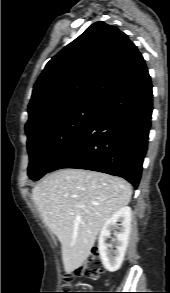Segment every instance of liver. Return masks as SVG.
Returning a JSON list of instances; mask_svg holds the SVG:
<instances>
[{
  "label": "liver",
  "instance_id": "1",
  "mask_svg": "<svg viewBox=\"0 0 170 293\" xmlns=\"http://www.w3.org/2000/svg\"><path fill=\"white\" fill-rule=\"evenodd\" d=\"M131 195V185L122 178L73 168L49 174L33 188L44 223L61 243L66 273L83 265L105 221Z\"/></svg>",
  "mask_w": 170,
  "mask_h": 293
}]
</instances>
